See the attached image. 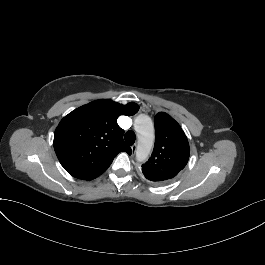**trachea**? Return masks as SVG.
<instances>
[{
    "instance_id": "obj_1",
    "label": "trachea",
    "mask_w": 265,
    "mask_h": 265,
    "mask_svg": "<svg viewBox=\"0 0 265 265\" xmlns=\"http://www.w3.org/2000/svg\"><path fill=\"white\" fill-rule=\"evenodd\" d=\"M124 139L128 145H133L136 139V135L133 131H128L124 135Z\"/></svg>"
}]
</instances>
